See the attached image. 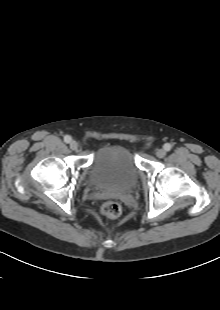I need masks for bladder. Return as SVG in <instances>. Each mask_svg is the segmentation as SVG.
I'll return each mask as SVG.
<instances>
[{
	"label": "bladder",
	"mask_w": 220,
	"mask_h": 310,
	"mask_svg": "<svg viewBox=\"0 0 220 310\" xmlns=\"http://www.w3.org/2000/svg\"><path fill=\"white\" fill-rule=\"evenodd\" d=\"M139 178L132 154L120 146L98 149L90 164L92 184L106 191L125 192L132 189Z\"/></svg>",
	"instance_id": "31cf9c89"
}]
</instances>
